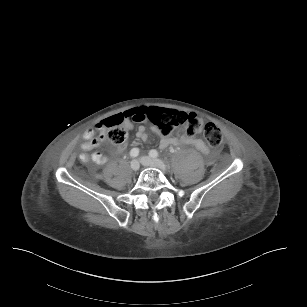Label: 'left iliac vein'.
<instances>
[{
    "instance_id": "1",
    "label": "left iliac vein",
    "mask_w": 307,
    "mask_h": 307,
    "mask_svg": "<svg viewBox=\"0 0 307 307\" xmlns=\"http://www.w3.org/2000/svg\"><path fill=\"white\" fill-rule=\"evenodd\" d=\"M140 162L144 165V166H150V167H159L161 169H165V165L161 160L158 159H151L148 156H143L140 159Z\"/></svg>"
}]
</instances>
